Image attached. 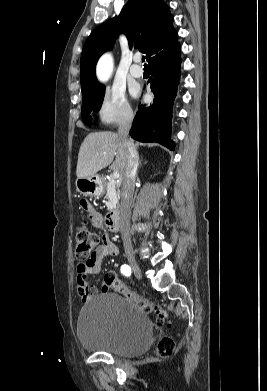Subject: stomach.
Segmentation results:
<instances>
[{
	"instance_id": "stomach-1",
	"label": "stomach",
	"mask_w": 267,
	"mask_h": 391,
	"mask_svg": "<svg viewBox=\"0 0 267 391\" xmlns=\"http://www.w3.org/2000/svg\"><path fill=\"white\" fill-rule=\"evenodd\" d=\"M75 184L76 190L84 196L98 198L104 192L103 181L97 174L86 178H78Z\"/></svg>"
}]
</instances>
